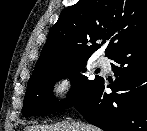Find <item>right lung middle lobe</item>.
Masks as SVG:
<instances>
[{"instance_id": "right-lung-middle-lobe-1", "label": "right lung middle lobe", "mask_w": 147, "mask_h": 131, "mask_svg": "<svg viewBox=\"0 0 147 131\" xmlns=\"http://www.w3.org/2000/svg\"><path fill=\"white\" fill-rule=\"evenodd\" d=\"M86 61L54 68L30 77L22 109L23 116L34 113H52L78 103L101 78L96 76L94 80H88L86 76L79 73L80 70L85 71ZM65 76L73 81V85L65 102L57 105L52 93L53 84L56 79Z\"/></svg>"}]
</instances>
